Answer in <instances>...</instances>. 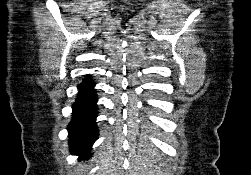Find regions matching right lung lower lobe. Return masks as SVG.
<instances>
[{"mask_svg":"<svg viewBox=\"0 0 251 175\" xmlns=\"http://www.w3.org/2000/svg\"><path fill=\"white\" fill-rule=\"evenodd\" d=\"M93 87L94 82L88 75L87 80L79 85L78 99L73 105V119L68 125L70 152L85 159L91 156V147L98 138L95 122L97 95Z\"/></svg>","mask_w":251,"mask_h":175,"instance_id":"1","label":"right lung lower lobe"}]
</instances>
